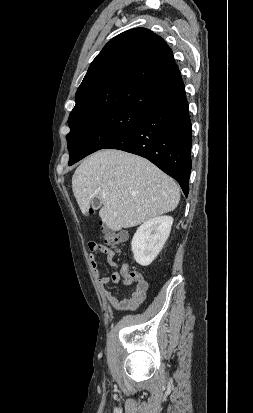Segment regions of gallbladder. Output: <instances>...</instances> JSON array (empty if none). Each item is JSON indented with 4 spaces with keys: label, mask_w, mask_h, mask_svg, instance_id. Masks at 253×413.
Returning <instances> with one entry per match:
<instances>
[{
    "label": "gallbladder",
    "mask_w": 253,
    "mask_h": 413,
    "mask_svg": "<svg viewBox=\"0 0 253 413\" xmlns=\"http://www.w3.org/2000/svg\"><path fill=\"white\" fill-rule=\"evenodd\" d=\"M92 207L94 208V209H98L100 206H101V204H102V202L100 201V199L99 198H94L93 200H92Z\"/></svg>",
    "instance_id": "obj_1"
}]
</instances>
